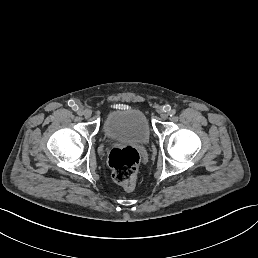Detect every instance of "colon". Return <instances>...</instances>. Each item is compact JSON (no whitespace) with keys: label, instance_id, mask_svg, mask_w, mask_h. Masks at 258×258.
Segmentation results:
<instances>
[{"label":"colon","instance_id":"colon-1","mask_svg":"<svg viewBox=\"0 0 258 258\" xmlns=\"http://www.w3.org/2000/svg\"><path fill=\"white\" fill-rule=\"evenodd\" d=\"M108 162L115 182L126 188L135 184L140 163L137 149L131 146L115 147L109 153Z\"/></svg>","mask_w":258,"mask_h":258}]
</instances>
